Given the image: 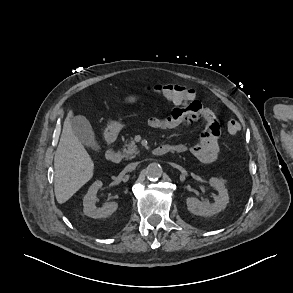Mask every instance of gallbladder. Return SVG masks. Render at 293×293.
Instances as JSON below:
<instances>
[{
	"mask_svg": "<svg viewBox=\"0 0 293 293\" xmlns=\"http://www.w3.org/2000/svg\"><path fill=\"white\" fill-rule=\"evenodd\" d=\"M72 130L79 141L94 151L100 150L90 122L84 116H74L70 120Z\"/></svg>",
	"mask_w": 293,
	"mask_h": 293,
	"instance_id": "gallbladder-1",
	"label": "gallbladder"
}]
</instances>
